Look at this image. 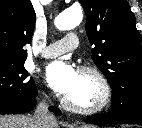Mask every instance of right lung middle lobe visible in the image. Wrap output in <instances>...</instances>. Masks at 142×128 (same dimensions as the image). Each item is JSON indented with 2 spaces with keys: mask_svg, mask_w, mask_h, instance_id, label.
I'll return each mask as SVG.
<instances>
[{
  "mask_svg": "<svg viewBox=\"0 0 142 128\" xmlns=\"http://www.w3.org/2000/svg\"><path fill=\"white\" fill-rule=\"evenodd\" d=\"M35 92V82L23 64L0 66V100L26 99Z\"/></svg>",
  "mask_w": 142,
  "mask_h": 128,
  "instance_id": "dd1d6c3e",
  "label": "right lung middle lobe"
}]
</instances>
